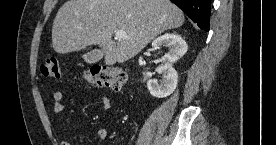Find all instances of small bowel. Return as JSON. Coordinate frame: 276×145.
<instances>
[{
	"mask_svg": "<svg viewBox=\"0 0 276 145\" xmlns=\"http://www.w3.org/2000/svg\"><path fill=\"white\" fill-rule=\"evenodd\" d=\"M53 99H54V104H53V112L56 116H59L64 109L63 105V99H64V94L61 91H56L53 94ZM100 103L101 107L104 110H108L111 107L110 101L106 96H100ZM78 129L73 130V132H77ZM96 137L100 140H105L109 138V132L105 128H99L96 131ZM61 145H69V142L67 141H62Z\"/></svg>",
	"mask_w": 276,
	"mask_h": 145,
	"instance_id": "1",
	"label": "small bowel"
}]
</instances>
